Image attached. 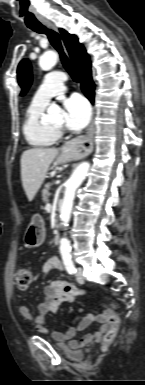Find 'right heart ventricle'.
<instances>
[{
    "instance_id": "e07e8e85",
    "label": "right heart ventricle",
    "mask_w": 145,
    "mask_h": 385,
    "mask_svg": "<svg viewBox=\"0 0 145 385\" xmlns=\"http://www.w3.org/2000/svg\"><path fill=\"white\" fill-rule=\"evenodd\" d=\"M46 106L31 102L25 113L22 131L26 141L33 147H49L59 138L58 132L43 119Z\"/></svg>"
}]
</instances>
